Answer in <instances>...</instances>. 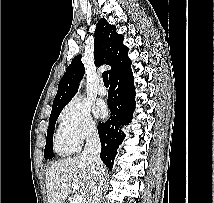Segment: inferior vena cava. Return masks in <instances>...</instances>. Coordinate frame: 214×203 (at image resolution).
Returning a JSON list of instances; mask_svg holds the SVG:
<instances>
[{
  "label": "inferior vena cava",
  "instance_id": "obj_1",
  "mask_svg": "<svg viewBox=\"0 0 214 203\" xmlns=\"http://www.w3.org/2000/svg\"><path fill=\"white\" fill-rule=\"evenodd\" d=\"M101 143L96 128L89 130L82 156L90 166V187L85 203H99L104 181V164L100 159Z\"/></svg>",
  "mask_w": 214,
  "mask_h": 203
}]
</instances>
